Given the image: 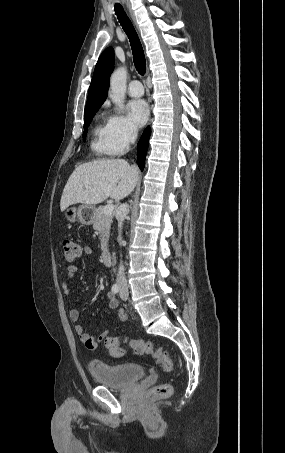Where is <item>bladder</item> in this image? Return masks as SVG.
Returning <instances> with one entry per match:
<instances>
[{
	"mask_svg": "<svg viewBox=\"0 0 285 453\" xmlns=\"http://www.w3.org/2000/svg\"><path fill=\"white\" fill-rule=\"evenodd\" d=\"M93 379L101 385L112 388H126L144 376V369L137 363L108 365L100 361L89 364Z\"/></svg>",
	"mask_w": 285,
	"mask_h": 453,
	"instance_id": "obj_1",
	"label": "bladder"
}]
</instances>
